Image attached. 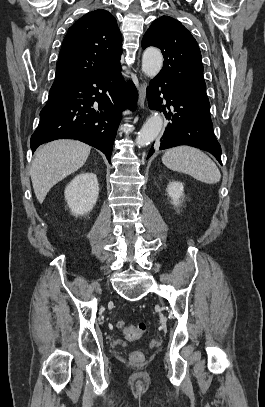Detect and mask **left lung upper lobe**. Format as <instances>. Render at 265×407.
Masks as SVG:
<instances>
[{
  "label": "left lung upper lobe",
  "mask_w": 265,
  "mask_h": 407,
  "mask_svg": "<svg viewBox=\"0 0 265 407\" xmlns=\"http://www.w3.org/2000/svg\"><path fill=\"white\" fill-rule=\"evenodd\" d=\"M158 47L164 56L159 73L198 104L210 108L203 78L198 44L177 20L162 16L155 20L142 39V48Z\"/></svg>",
  "instance_id": "obj_1"
}]
</instances>
